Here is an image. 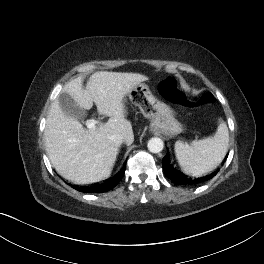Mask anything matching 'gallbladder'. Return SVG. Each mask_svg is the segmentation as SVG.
I'll list each match as a JSON object with an SVG mask.
<instances>
[{"instance_id": "gallbladder-1", "label": "gallbladder", "mask_w": 264, "mask_h": 264, "mask_svg": "<svg viewBox=\"0 0 264 264\" xmlns=\"http://www.w3.org/2000/svg\"><path fill=\"white\" fill-rule=\"evenodd\" d=\"M58 101L61 110L66 116L80 120L85 117V110L79 107L69 94L63 92L60 93Z\"/></svg>"}]
</instances>
